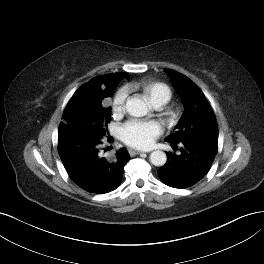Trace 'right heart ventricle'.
Returning a JSON list of instances; mask_svg holds the SVG:
<instances>
[{"label": "right heart ventricle", "mask_w": 264, "mask_h": 264, "mask_svg": "<svg viewBox=\"0 0 264 264\" xmlns=\"http://www.w3.org/2000/svg\"><path fill=\"white\" fill-rule=\"evenodd\" d=\"M130 87L140 89L153 105L157 103L165 105L172 97L170 87L163 82L144 80L139 83H134Z\"/></svg>", "instance_id": "e07e8e85"}]
</instances>
